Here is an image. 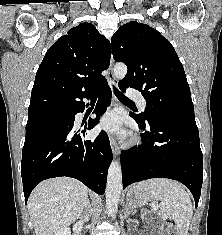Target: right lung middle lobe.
<instances>
[{
  "label": "right lung middle lobe",
  "instance_id": "right-lung-middle-lobe-1",
  "mask_svg": "<svg viewBox=\"0 0 222 235\" xmlns=\"http://www.w3.org/2000/svg\"><path fill=\"white\" fill-rule=\"evenodd\" d=\"M56 125H63V122L53 117L31 120V121H28L26 124V135H30L41 129L51 127V126H56Z\"/></svg>",
  "mask_w": 222,
  "mask_h": 235
}]
</instances>
